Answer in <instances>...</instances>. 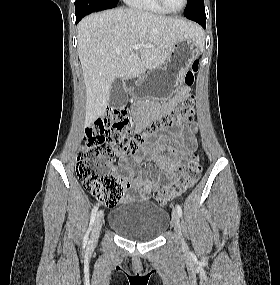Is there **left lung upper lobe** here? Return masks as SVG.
I'll return each instance as SVG.
<instances>
[{"label":"left lung upper lobe","instance_id":"5c2ea615","mask_svg":"<svg viewBox=\"0 0 280 285\" xmlns=\"http://www.w3.org/2000/svg\"><path fill=\"white\" fill-rule=\"evenodd\" d=\"M205 14L203 0H187V6L184 10V16L191 19L192 16H200Z\"/></svg>","mask_w":280,"mask_h":285}]
</instances>
